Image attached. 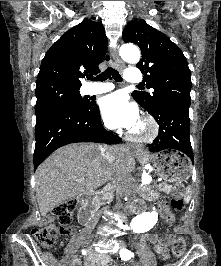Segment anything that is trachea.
Instances as JSON below:
<instances>
[{
    "mask_svg": "<svg viewBox=\"0 0 221 266\" xmlns=\"http://www.w3.org/2000/svg\"><path fill=\"white\" fill-rule=\"evenodd\" d=\"M109 56H106V60L109 61ZM112 76V78L116 81V82H122V77L119 74V72L117 70H114L112 67H107V69L102 72L101 74H99L96 77H93L92 75H88L87 79L89 80H94V81H105L108 78H110ZM140 86V85H138Z\"/></svg>",
    "mask_w": 221,
    "mask_h": 266,
    "instance_id": "1",
    "label": "trachea"
}]
</instances>
